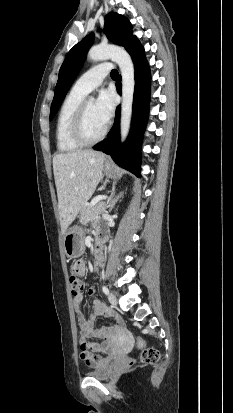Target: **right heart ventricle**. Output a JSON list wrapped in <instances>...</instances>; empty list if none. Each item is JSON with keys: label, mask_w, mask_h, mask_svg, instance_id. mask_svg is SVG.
<instances>
[{"label": "right heart ventricle", "mask_w": 233, "mask_h": 413, "mask_svg": "<svg viewBox=\"0 0 233 413\" xmlns=\"http://www.w3.org/2000/svg\"><path fill=\"white\" fill-rule=\"evenodd\" d=\"M85 95L72 88L60 107L56 121V145L61 152H73L81 147L71 137V124Z\"/></svg>", "instance_id": "right-heart-ventricle-1"}]
</instances>
